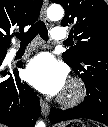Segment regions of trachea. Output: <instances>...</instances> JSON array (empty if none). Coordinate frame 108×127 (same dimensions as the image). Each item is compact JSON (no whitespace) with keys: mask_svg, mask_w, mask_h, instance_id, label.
Wrapping results in <instances>:
<instances>
[{"mask_svg":"<svg viewBox=\"0 0 108 127\" xmlns=\"http://www.w3.org/2000/svg\"><path fill=\"white\" fill-rule=\"evenodd\" d=\"M37 34H39L43 40H48V30L43 21H37L26 33L17 34L16 37L20 40L21 45H28Z\"/></svg>","mask_w":108,"mask_h":127,"instance_id":"3493384b","label":"trachea"}]
</instances>
